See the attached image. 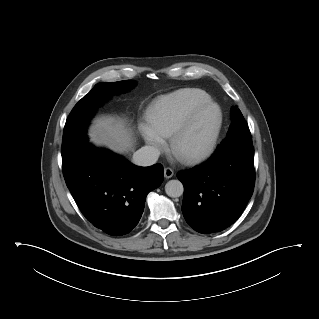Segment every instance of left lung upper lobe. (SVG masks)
Returning <instances> with one entry per match:
<instances>
[{
    "label": "left lung upper lobe",
    "mask_w": 319,
    "mask_h": 319,
    "mask_svg": "<svg viewBox=\"0 0 319 319\" xmlns=\"http://www.w3.org/2000/svg\"><path fill=\"white\" fill-rule=\"evenodd\" d=\"M231 115L233 116L232 123L229 127V131L227 136L219 147H225L227 144L231 142H244V143H251V134L248 128V125L241 113L240 110H236L232 108Z\"/></svg>",
    "instance_id": "left-lung-upper-lobe-1"
}]
</instances>
